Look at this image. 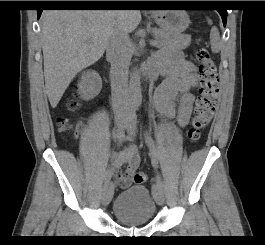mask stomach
I'll return each instance as SVG.
<instances>
[{
	"label": "stomach",
	"instance_id": "1",
	"mask_svg": "<svg viewBox=\"0 0 265 245\" xmlns=\"http://www.w3.org/2000/svg\"><path fill=\"white\" fill-rule=\"evenodd\" d=\"M158 26L167 34L180 35L190 23L184 10H158L153 13Z\"/></svg>",
	"mask_w": 265,
	"mask_h": 245
}]
</instances>
